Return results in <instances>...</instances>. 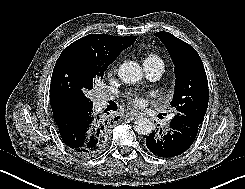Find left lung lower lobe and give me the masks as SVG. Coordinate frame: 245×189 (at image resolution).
<instances>
[{
  "label": "left lung lower lobe",
  "mask_w": 245,
  "mask_h": 189,
  "mask_svg": "<svg viewBox=\"0 0 245 189\" xmlns=\"http://www.w3.org/2000/svg\"><path fill=\"white\" fill-rule=\"evenodd\" d=\"M199 123L189 116H175L170 128L156 131L146 138V146L159 157H174L185 152L194 142Z\"/></svg>",
  "instance_id": "obj_1"
}]
</instances>
